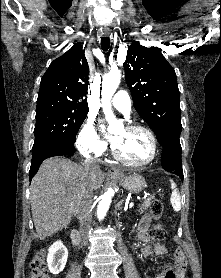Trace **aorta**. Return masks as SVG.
<instances>
[{"instance_id": "aorta-1", "label": "aorta", "mask_w": 221, "mask_h": 278, "mask_svg": "<svg viewBox=\"0 0 221 278\" xmlns=\"http://www.w3.org/2000/svg\"><path fill=\"white\" fill-rule=\"evenodd\" d=\"M121 80V71L118 69L111 70L108 74L103 77L102 90H101V102L104 114L108 119L113 118V111L111 105V99L116 92ZM113 190L109 189L106 191L101 201L98 204L97 216L99 220H102L109 209L112 201Z\"/></svg>"}]
</instances>
